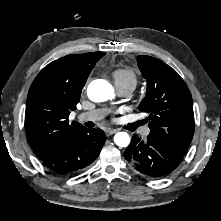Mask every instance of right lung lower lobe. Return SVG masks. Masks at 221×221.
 Returning a JSON list of instances; mask_svg holds the SVG:
<instances>
[{
    "label": "right lung lower lobe",
    "mask_w": 221,
    "mask_h": 221,
    "mask_svg": "<svg viewBox=\"0 0 221 221\" xmlns=\"http://www.w3.org/2000/svg\"><path fill=\"white\" fill-rule=\"evenodd\" d=\"M105 141L106 136L101 129L85 128L67 138L41 162L54 174L74 175L99 156Z\"/></svg>",
    "instance_id": "98d812e1"
}]
</instances>
